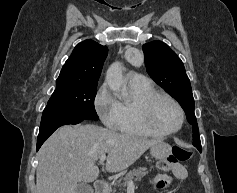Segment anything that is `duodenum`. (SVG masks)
<instances>
[{
  "label": "duodenum",
  "instance_id": "410a0bca",
  "mask_svg": "<svg viewBox=\"0 0 237 193\" xmlns=\"http://www.w3.org/2000/svg\"><path fill=\"white\" fill-rule=\"evenodd\" d=\"M95 193H107L108 187L105 181L98 180L94 183Z\"/></svg>",
  "mask_w": 237,
  "mask_h": 193
}]
</instances>
